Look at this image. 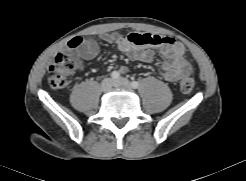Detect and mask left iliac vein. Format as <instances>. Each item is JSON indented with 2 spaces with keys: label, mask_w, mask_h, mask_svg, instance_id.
<instances>
[{
  "label": "left iliac vein",
  "mask_w": 246,
  "mask_h": 181,
  "mask_svg": "<svg viewBox=\"0 0 246 181\" xmlns=\"http://www.w3.org/2000/svg\"><path fill=\"white\" fill-rule=\"evenodd\" d=\"M114 86L117 88H130L131 84L126 78H119L114 81Z\"/></svg>",
  "instance_id": "obj_1"
}]
</instances>
